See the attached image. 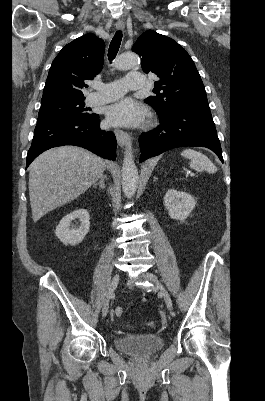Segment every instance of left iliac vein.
<instances>
[{"label":"left iliac vein","instance_id":"obj_1","mask_svg":"<svg viewBox=\"0 0 265 401\" xmlns=\"http://www.w3.org/2000/svg\"><path fill=\"white\" fill-rule=\"evenodd\" d=\"M144 278H146V279H148V280L154 282L153 288L156 287V288L159 289V292H160V294H162V296H163V298H164V300H165V303H166V306H167L168 310L172 311V310H173L172 299H171L169 293L167 292V290L165 289V287H164L161 283L158 282V280H157V278L155 277V275H153V274H151V273H145V274H144Z\"/></svg>","mask_w":265,"mask_h":401}]
</instances>
